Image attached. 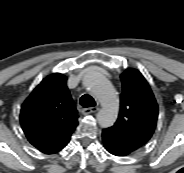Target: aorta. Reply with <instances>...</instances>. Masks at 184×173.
Returning <instances> with one entry per match:
<instances>
[{
	"instance_id": "1",
	"label": "aorta",
	"mask_w": 184,
	"mask_h": 173,
	"mask_svg": "<svg viewBox=\"0 0 184 173\" xmlns=\"http://www.w3.org/2000/svg\"><path fill=\"white\" fill-rule=\"evenodd\" d=\"M84 86L97 97L102 108L97 113V121L102 128L112 126L118 116L119 101L109 81L96 69H88L83 77Z\"/></svg>"
}]
</instances>
